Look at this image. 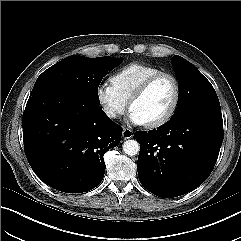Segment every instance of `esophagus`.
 <instances>
[{
  "instance_id": "esophagus-1",
  "label": "esophagus",
  "mask_w": 241,
  "mask_h": 241,
  "mask_svg": "<svg viewBox=\"0 0 241 241\" xmlns=\"http://www.w3.org/2000/svg\"><path fill=\"white\" fill-rule=\"evenodd\" d=\"M122 137L123 139H129L133 137V131L128 129V128H123V132H122Z\"/></svg>"
}]
</instances>
